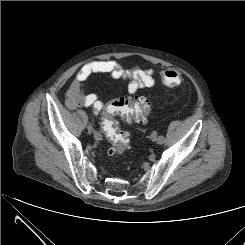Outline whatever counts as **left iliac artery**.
<instances>
[{
    "label": "left iliac artery",
    "mask_w": 245,
    "mask_h": 245,
    "mask_svg": "<svg viewBox=\"0 0 245 245\" xmlns=\"http://www.w3.org/2000/svg\"><path fill=\"white\" fill-rule=\"evenodd\" d=\"M157 142L159 144H163L164 143V137L163 136H159L158 139H157Z\"/></svg>",
    "instance_id": "1"
}]
</instances>
